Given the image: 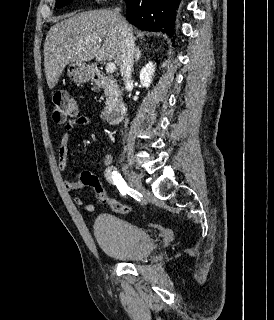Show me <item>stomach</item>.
Instances as JSON below:
<instances>
[{"label":"stomach","mask_w":274,"mask_h":320,"mask_svg":"<svg viewBox=\"0 0 274 320\" xmlns=\"http://www.w3.org/2000/svg\"><path fill=\"white\" fill-rule=\"evenodd\" d=\"M71 72H69L70 76H72V80L77 82V84H85V82H89L95 76V68L91 66V64H70Z\"/></svg>","instance_id":"1"}]
</instances>
